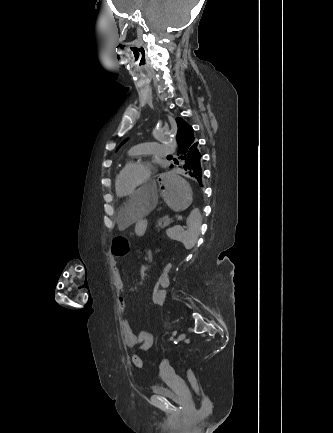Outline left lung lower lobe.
<instances>
[{
	"label": "left lung lower lobe",
	"instance_id": "0a47b994",
	"mask_svg": "<svg viewBox=\"0 0 333 433\" xmlns=\"http://www.w3.org/2000/svg\"><path fill=\"white\" fill-rule=\"evenodd\" d=\"M201 153L198 149V142L195 140L190 145L178 151L177 159H174L177 170H180L192 177L195 181L200 183L202 181L201 169ZM173 167V166H171Z\"/></svg>",
	"mask_w": 333,
	"mask_h": 433
}]
</instances>
